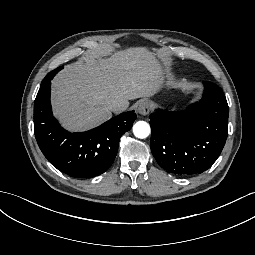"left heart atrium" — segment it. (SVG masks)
I'll return each instance as SVG.
<instances>
[{"mask_svg": "<svg viewBox=\"0 0 255 255\" xmlns=\"http://www.w3.org/2000/svg\"><path fill=\"white\" fill-rule=\"evenodd\" d=\"M140 77L134 73H128L118 77L114 83L113 89L119 93H125V87L137 85Z\"/></svg>", "mask_w": 255, "mask_h": 255, "instance_id": "1", "label": "left heart atrium"}]
</instances>
